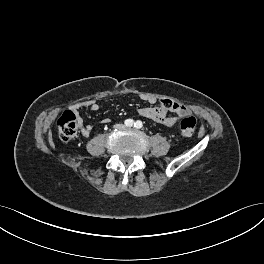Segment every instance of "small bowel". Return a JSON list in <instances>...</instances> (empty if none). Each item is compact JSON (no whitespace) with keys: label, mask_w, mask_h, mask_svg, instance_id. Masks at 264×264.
Masks as SVG:
<instances>
[{"label":"small bowel","mask_w":264,"mask_h":264,"mask_svg":"<svg viewBox=\"0 0 264 264\" xmlns=\"http://www.w3.org/2000/svg\"><path fill=\"white\" fill-rule=\"evenodd\" d=\"M143 99L147 101L149 104H154L156 102V98L152 96L144 97ZM85 105L89 107L92 111L99 110V105L95 101H92V100L87 101ZM169 111L175 112L178 116H186L190 114V111L186 106L180 103L171 101L169 99L160 100L159 106H147V107H141L138 109V113L141 116L151 119L167 127H172L176 124L177 117L169 116L168 115ZM77 119H78V126L80 128L81 134L84 137H89L93 130L92 125L85 124L79 114H77ZM103 122L107 123L109 122V119H104Z\"/></svg>","instance_id":"small-bowel-1"}]
</instances>
